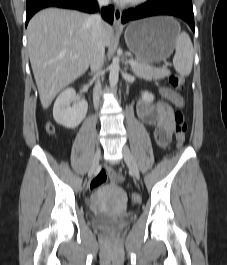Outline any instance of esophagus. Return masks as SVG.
<instances>
[{
    "mask_svg": "<svg viewBox=\"0 0 227 265\" xmlns=\"http://www.w3.org/2000/svg\"><path fill=\"white\" fill-rule=\"evenodd\" d=\"M121 16H122L121 10L118 8H115L114 9V27L116 29L122 28Z\"/></svg>",
    "mask_w": 227,
    "mask_h": 265,
    "instance_id": "obj_1",
    "label": "esophagus"
}]
</instances>
